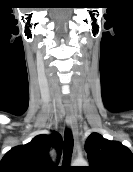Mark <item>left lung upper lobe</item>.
Wrapping results in <instances>:
<instances>
[{"label":"left lung upper lobe","instance_id":"obj_1","mask_svg":"<svg viewBox=\"0 0 133 172\" xmlns=\"http://www.w3.org/2000/svg\"><path fill=\"white\" fill-rule=\"evenodd\" d=\"M90 166L86 172H133V154L120 142L92 133L85 143Z\"/></svg>","mask_w":133,"mask_h":172}]
</instances>
